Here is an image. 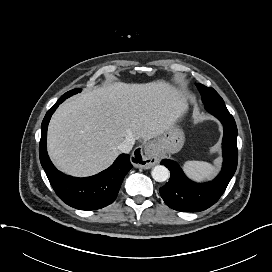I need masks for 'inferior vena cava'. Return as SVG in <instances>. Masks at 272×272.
I'll return each instance as SVG.
<instances>
[{
	"label": "inferior vena cava",
	"instance_id": "inferior-vena-cava-1",
	"mask_svg": "<svg viewBox=\"0 0 272 272\" xmlns=\"http://www.w3.org/2000/svg\"><path fill=\"white\" fill-rule=\"evenodd\" d=\"M134 145V140L132 138H126L122 143L119 144L118 150L121 153H129Z\"/></svg>",
	"mask_w": 272,
	"mask_h": 272
}]
</instances>
